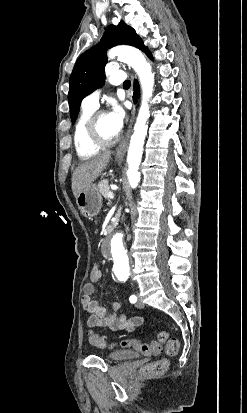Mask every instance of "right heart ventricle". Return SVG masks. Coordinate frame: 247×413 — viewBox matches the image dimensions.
Instances as JSON below:
<instances>
[{"label":"right heart ventricle","instance_id":"obj_1","mask_svg":"<svg viewBox=\"0 0 247 413\" xmlns=\"http://www.w3.org/2000/svg\"><path fill=\"white\" fill-rule=\"evenodd\" d=\"M91 110L83 113L80 116L75 128V147L77 154L81 160L93 158L97 156L101 151V148L93 145L87 138V129L91 119Z\"/></svg>","mask_w":247,"mask_h":413}]
</instances>
